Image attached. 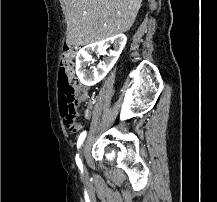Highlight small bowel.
Returning a JSON list of instances; mask_svg holds the SVG:
<instances>
[{"label":"small bowel","instance_id":"1","mask_svg":"<svg viewBox=\"0 0 217 202\" xmlns=\"http://www.w3.org/2000/svg\"><path fill=\"white\" fill-rule=\"evenodd\" d=\"M73 77H74V76H73ZM74 82H75V89H76L78 92L81 93V95H80L79 98H78V102L81 103V102H83V101L86 100V96H85V94H83L84 89H83V86H82L80 83H78V82L76 81V79L74 80ZM92 114H93V111H92V103H91V101H89V102H88V107H87V109H86V111H85V113H84V116H85L86 119H89V118L92 117ZM80 127H82V124H80Z\"/></svg>","mask_w":217,"mask_h":202}]
</instances>
